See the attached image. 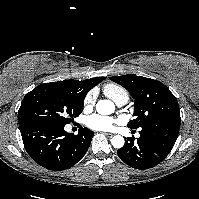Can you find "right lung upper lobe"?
Segmentation results:
<instances>
[{
  "label": "right lung upper lobe",
  "mask_w": 199,
  "mask_h": 199,
  "mask_svg": "<svg viewBox=\"0 0 199 199\" xmlns=\"http://www.w3.org/2000/svg\"><path fill=\"white\" fill-rule=\"evenodd\" d=\"M104 78L96 77L86 79L83 81L78 80H64L58 82L45 83L37 86L32 91L43 93L51 88H56L64 93L70 94L76 98H85L86 94L97 84L102 82Z\"/></svg>",
  "instance_id": "obj_1"
}]
</instances>
